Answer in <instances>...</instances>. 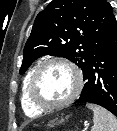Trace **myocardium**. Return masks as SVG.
I'll use <instances>...</instances> for the list:
<instances>
[{"mask_svg": "<svg viewBox=\"0 0 117 131\" xmlns=\"http://www.w3.org/2000/svg\"><path fill=\"white\" fill-rule=\"evenodd\" d=\"M50 65H62L67 67L68 69H70L74 76H75V88L73 90V92L71 93V95L66 98L65 100L59 102V103H54V104H49V103H44L42 101H40L36 94H35V83L37 80V77L40 73V71ZM83 75L81 70L72 62L65 60V59H60V58H54V59H48L45 60L43 62H41L40 64H38L32 71L30 79H29V83H28V95L29 98L32 102V104L42 110V111H52V110H57L60 108H63L69 104H71L81 93V90L83 88Z\"/></svg>", "mask_w": 117, "mask_h": 131, "instance_id": "1", "label": "myocardium"}]
</instances>
